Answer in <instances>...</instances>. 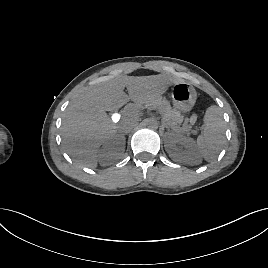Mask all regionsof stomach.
<instances>
[{
    "instance_id": "0dacf381",
    "label": "stomach",
    "mask_w": 268,
    "mask_h": 268,
    "mask_svg": "<svg viewBox=\"0 0 268 268\" xmlns=\"http://www.w3.org/2000/svg\"><path fill=\"white\" fill-rule=\"evenodd\" d=\"M172 101L176 109L181 112H190L196 102L197 93L189 83L180 81L173 84Z\"/></svg>"
}]
</instances>
